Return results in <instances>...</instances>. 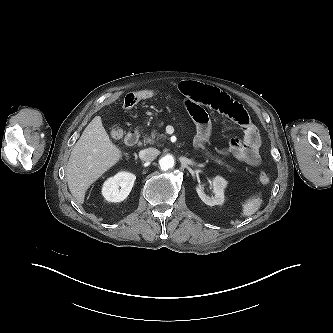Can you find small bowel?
Returning <instances> with one entry per match:
<instances>
[{
    "instance_id": "obj_1",
    "label": "small bowel",
    "mask_w": 333,
    "mask_h": 333,
    "mask_svg": "<svg viewBox=\"0 0 333 333\" xmlns=\"http://www.w3.org/2000/svg\"><path fill=\"white\" fill-rule=\"evenodd\" d=\"M178 89L186 99L188 111L196 126L195 144L203 145L211 133L210 119L204 107L216 110L240 125L242 138H232L229 150L240 161L256 166L260 163L261 140L256 126L244 107L217 88L197 82H182Z\"/></svg>"
}]
</instances>
